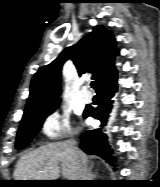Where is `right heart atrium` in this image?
Segmentation results:
<instances>
[{"label": "right heart atrium", "mask_w": 160, "mask_h": 187, "mask_svg": "<svg viewBox=\"0 0 160 187\" xmlns=\"http://www.w3.org/2000/svg\"><path fill=\"white\" fill-rule=\"evenodd\" d=\"M41 132L48 141L71 137L73 131L68 114L58 110L51 111L42 122Z\"/></svg>", "instance_id": "1"}]
</instances>
